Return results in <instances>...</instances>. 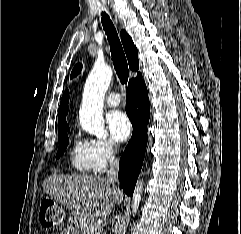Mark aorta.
Listing matches in <instances>:
<instances>
[{
  "instance_id": "1",
  "label": "aorta",
  "mask_w": 241,
  "mask_h": 234,
  "mask_svg": "<svg viewBox=\"0 0 241 234\" xmlns=\"http://www.w3.org/2000/svg\"><path fill=\"white\" fill-rule=\"evenodd\" d=\"M112 69L105 64H96L91 70L83 90L79 120L82 128L98 138H106L103 119V100L112 79ZM142 181L137 183L133 194V213L141 201Z\"/></svg>"
}]
</instances>
